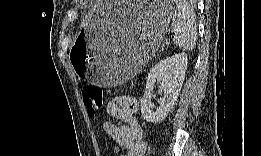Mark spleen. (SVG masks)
I'll list each match as a JSON object with an SVG mask.
<instances>
[{
	"instance_id": "obj_1",
	"label": "spleen",
	"mask_w": 261,
	"mask_h": 156,
	"mask_svg": "<svg viewBox=\"0 0 261 156\" xmlns=\"http://www.w3.org/2000/svg\"><path fill=\"white\" fill-rule=\"evenodd\" d=\"M174 43L184 51L194 49L197 41V24L193 8L185 0H177L171 10Z\"/></svg>"
}]
</instances>
